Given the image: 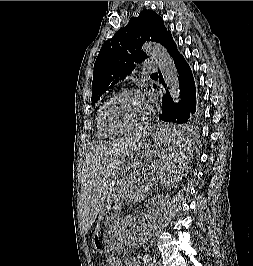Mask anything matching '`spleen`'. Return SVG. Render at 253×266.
<instances>
[{"label": "spleen", "instance_id": "obj_1", "mask_svg": "<svg viewBox=\"0 0 253 266\" xmlns=\"http://www.w3.org/2000/svg\"><path fill=\"white\" fill-rule=\"evenodd\" d=\"M163 132H190V123H163ZM194 153V146L191 138H164L163 150L159 151V160H153L149 166L150 174H159L160 187H175L176 180L180 178L179 169L188 168V159L190 154ZM146 186L152 187L155 184L154 179L148 178L145 181Z\"/></svg>", "mask_w": 253, "mask_h": 266}]
</instances>
